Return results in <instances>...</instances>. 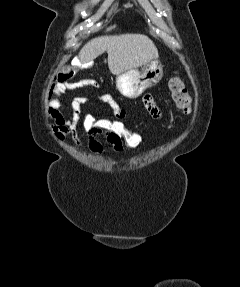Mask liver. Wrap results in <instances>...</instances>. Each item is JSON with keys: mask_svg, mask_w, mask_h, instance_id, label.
<instances>
[{"mask_svg": "<svg viewBox=\"0 0 240 287\" xmlns=\"http://www.w3.org/2000/svg\"><path fill=\"white\" fill-rule=\"evenodd\" d=\"M105 51L108 53L109 70L114 75L145 65L159 56L148 36L128 33L91 39L80 50L79 62L82 65L91 64Z\"/></svg>", "mask_w": 240, "mask_h": 287, "instance_id": "1", "label": "liver"}]
</instances>
